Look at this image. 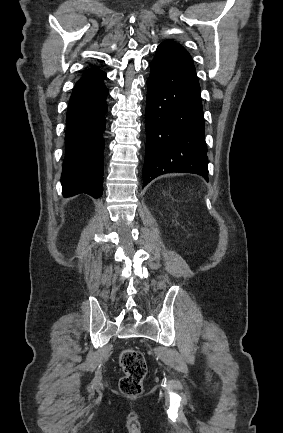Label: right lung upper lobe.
Segmentation results:
<instances>
[{
  "instance_id": "obj_1",
  "label": "right lung upper lobe",
  "mask_w": 283,
  "mask_h": 433,
  "mask_svg": "<svg viewBox=\"0 0 283 433\" xmlns=\"http://www.w3.org/2000/svg\"><path fill=\"white\" fill-rule=\"evenodd\" d=\"M105 74L102 70H100L97 67H92L87 74L84 75L83 78H81L80 80H84V79H90V78H94V77H98Z\"/></svg>"
}]
</instances>
